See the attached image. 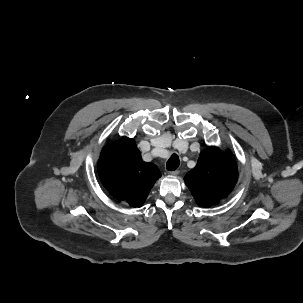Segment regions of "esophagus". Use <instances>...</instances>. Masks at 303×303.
Returning <instances> with one entry per match:
<instances>
[{
  "label": "esophagus",
  "instance_id": "1",
  "mask_svg": "<svg viewBox=\"0 0 303 303\" xmlns=\"http://www.w3.org/2000/svg\"><path fill=\"white\" fill-rule=\"evenodd\" d=\"M170 174L173 175V176H177V175L180 174V171L179 170H174V171L170 172Z\"/></svg>",
  "mask_w": 303,
  "mask_h": 303
}]
</instances>
